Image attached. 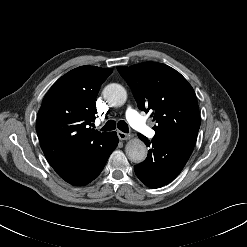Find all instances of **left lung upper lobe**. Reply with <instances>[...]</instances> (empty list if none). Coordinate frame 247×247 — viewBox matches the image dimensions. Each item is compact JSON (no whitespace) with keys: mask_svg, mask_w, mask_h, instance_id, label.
I'll list each match as a JSON object with an SVG mask.
<instances>
[{"mask_svg":"<svg viewBox=\"0 0 247 247\" xmlns=\"http://www.w3.org/2000/svg\"><path fill=\"white\" fill-rule=\"evenodd\" d=\"M117 69L131 87L139 109L152 112L157 123L153 138L183 140L195 145L200 127L197 98L179 72L156 62Z\"/></svg>","mask_w":247,"mask_h":247,"instance_id":"1","label":"left lung upper lobe"}]
</instances>
